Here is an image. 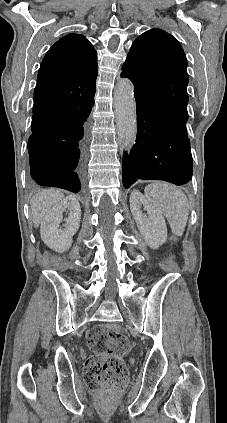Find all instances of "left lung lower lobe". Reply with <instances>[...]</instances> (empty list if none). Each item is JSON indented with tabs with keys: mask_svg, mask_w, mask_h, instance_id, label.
Masks as SVG:
<instances>
[{
	"mask_svg": "<svg viewBox=\"0 0 227 423\" xmlns=\"http://www.w3.org/2000/svg\"><path fill=\"white\" fill-rule=\"evenodd\" d=\"M136 143L123 155V185L138 179L183 185L192 178V156L186 131L188 112L162 113L149 107L135 92Z\"/></svg>",
	"mask_w": 227,
	"mask_h": 423,
	"instance_id": "obj_1",
	"label": "left lung lower lobe"
}]
</instances>
